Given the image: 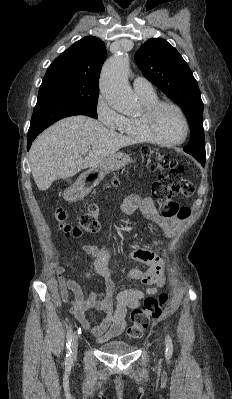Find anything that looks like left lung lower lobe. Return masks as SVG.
<instances>
[{
  "label": "left lung lower lobe",
  "mask_w": 232,
  "mask_h": 399,
  "mask_svg": "<svg viewBox=\"0 0 232 399\" xmlns=\"http://www.w3.org/2000/svg\"><path fill=\"white\" fill-rule=\"evenodd\" d=\"M202 165L205 164V160L199 161Z\"/></svg>",
  "instance_id": "0a47b994"
}]
</instances>
